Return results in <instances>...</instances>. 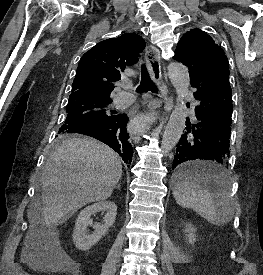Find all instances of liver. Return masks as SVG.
I'll use <instances>...</instances> for the list:
<instances>
[{
	"mask_svg": "<svg viewBox=\"0 0 263 275\" xmlns=\"http://www.w3.org/2000/svg\"><path fill=\"white\" fill-rule=\"evenodd\" d=\"M121 176L120 158L111 148L92 139H68L47 161L42 194L29 215L47 227L64 223L86 204L110 197Z\"/></svg>",
	"mask_w": 263,
	"mask_h": 275,
	"instance_id": "6515ba94",
	"label": "liver"
}]
</instances>
